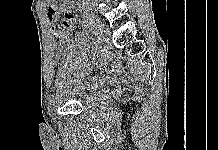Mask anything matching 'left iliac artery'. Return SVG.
I'll return each instance as SVG.
<instances>
[{"label":"left iliac artery","instance_id":"left-iliac-artery-1","mask_svg":"<svg viewBox=\"0 0 218 150\" xmlns=\"http://www.w3.org/2000/svg\"><path fill=\"white\" fill-rule=\"evenodd\" d=\"M90 30H91V32H92L93 35H96V34H97V31H96L95 28L92 27ZM94 40H95V42H94L93 44L96 46V45L98 44L97 41H98L99 39L96 37ZM88 62L91 64L93 61H88Z\"/></svg>","mask_w":218,"mask_h":150}]
</instances>
